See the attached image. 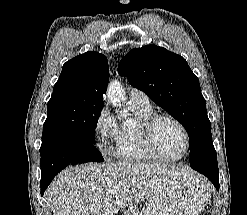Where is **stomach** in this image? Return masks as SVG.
<instances>
[{
	"label": "stomach",
	"mask_w": 247,
	"mask_h": 215,
	"mask_svg": "<svg viewBox=\"0 0 247 215\" xmlns=\"http://www.w3.org/2000/svg\"><path fill=\"white\" fill-rule=\"evenodd\" d=\"M210 197L206 181L191 170L166 180L147 200L145 215H199Z\"/></svg>",
	"instance_id": "0dacf381"
}]
</instances>
